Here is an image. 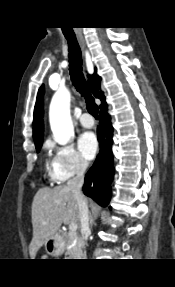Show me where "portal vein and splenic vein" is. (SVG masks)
Returning a JSON list of instances; mask_svg holds the SVG:
<instances>
[{"label":"portal vein and splenic vein","mask_w":175,"mask_h":287,"mask_svg":"<svg viewBox=\"0 0 175 287\" xmlns=\"http://www.w3.org/2000/svg\"><path fill=\"white\" fill-rule=\"evenodd\" d=\"M69 230H70L71 232H76V230H77V224H76V223H71V224H69Z\"/></svg>","instance_id":"portal-vein-and-splenic-vein-1"}]
</instances>
